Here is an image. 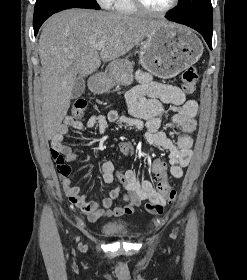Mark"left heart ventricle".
<instances>
[{
    "mask_svg": "<svg viewBox=\"0 0 247 280\" xmlns=\"http://www.w3.org/2000/svg\"><path fill=\"white\" fill-rule=\"evenodd\" d=\"M144 4L153 10H162L168 7L172 0H142Z\"/></svg>",
    "mask_w": 247,
    "mask_h": 280,
    "instance_id": "obj_1",
    "label": "left heart ventricle"
}]
</instances>
